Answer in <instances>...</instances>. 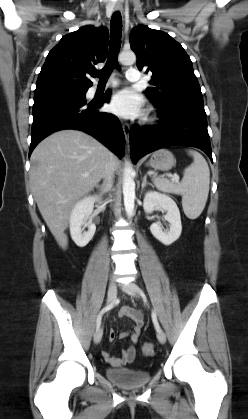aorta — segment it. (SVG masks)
Returning <instances> with one entry per match:
<instances>
[{"label":"aorta","instance_id":"aorta-1","mask_svg":"<svg viewBox=\"0 0 248 419\" xmlns=\"http://www.w3.org/2000/svg\"><path fill=\"white\" fill-rule=\"evenodd\" d=\"M119 61L124 65H132L136 61V55L132 51H123L119 55ZM133 169L127 163L123 173V197L124 206L128 217L134 212L135 205V182L133 180Z\"/></svg>","mask_w":248,"mask_h":419}]
</instances>
